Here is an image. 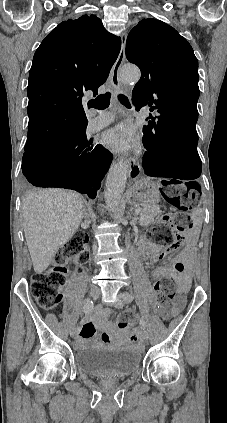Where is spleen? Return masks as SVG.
<instances>
[{
    "label": "spleen",
    "mask_w": 227,
    "mask_h": 423,
    "mask_svg": "<svg viewBox=\"0 0 227 423\" xmlns=\"http://www.w3.org/2000/svg\"><path fill=\"white\" fill-rule=\"evenodd\" d=\"M201 211L200 210H194L192 215H191V219H193V221H195V223H198V225H201Z\"/></svg>",
    "instance_id": "obj_1"
}]
</instances>
